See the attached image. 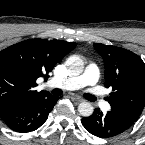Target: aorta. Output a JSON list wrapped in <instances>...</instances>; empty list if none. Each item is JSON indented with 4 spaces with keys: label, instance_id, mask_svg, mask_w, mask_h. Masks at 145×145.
Instances as JSON below:
<instances>
[{
    "label": "aorta",
    "instance_id": "762f6f07",
    "mask_svg": "<svg viewBox=\"0 0 145 145\" xmlns=\"http://www.w3.org/2000/svg\"><path fill=\"white\" fill-rule=\"evenodd\" d=\"M66 64L68 66V70L72 75H80L83 72L84 69V62L83 60L77 56V55H72L70 56ZM93 106L89 102H81L78 106V112L80 113L81 116L83 117H89L93 113Z\"/></svg>",
    "mask_w": 145,
    "mask_h": 145
}]
</instances>
